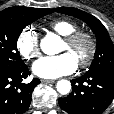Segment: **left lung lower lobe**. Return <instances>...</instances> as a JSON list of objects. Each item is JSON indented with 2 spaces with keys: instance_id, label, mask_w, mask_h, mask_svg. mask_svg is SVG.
Masks as SVG:
<instances>
[{
  "instance_id": "obj_1",
  "label": "left lung lower lobe",
  "mask_w": 114,
  "mask_h": 114,
  "mask_svg": "<svg viewBox=\"0 0 114 114\" xmlns=\"http://www.w3.org/2000/svg\"><path fill=\"white\" fill-rule=\"evenodd\" d=\"M71 83L72 92L58 100L69 114H102L114 97V70L87 72Z\"/></svg>"
}]
</instances>
